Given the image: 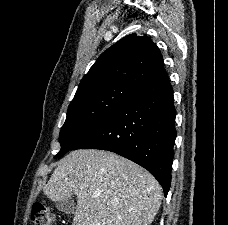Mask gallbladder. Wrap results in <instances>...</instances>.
<instances>
[{
    "label": "gallbladder",
    "mask_w": 228,
    "mask_h": 225,
    "mask_svg": "<svg viewBox=\"0 0 228 225\" xmlns=\"http://www.w3.org/2000/svg\"><path fill=\"white\" fill-rule=\"evenodd\" d=\"M55 207L56 209H58V211H62V213H66V215H72L75 209V201L74 199H72V195H71L69 199H64V201H56Z\"/></svg>",
    "instance_id": "obj_1"
}]
</instances>
